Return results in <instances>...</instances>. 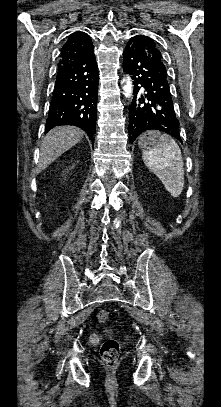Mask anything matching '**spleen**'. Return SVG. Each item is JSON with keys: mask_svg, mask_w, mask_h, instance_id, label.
I'll return each instance as SVG.
<instances>
[{"mask_svg": "<svg viewBox=\"0 0 221 407\" xmlns=\"http://www.w3.org/2000/svg\"><path fill=\"white\" fill-rule=\"evenodd\" d=\"M142 159L171 196L179 197L184 187V168L176 141L167 135L158 136L154 145L143 150Z\"/></svg>", "mask_w": 221, "mask_h": 407, "instance_id": "3e777b00", "label": "spleen"}]
</instances>
